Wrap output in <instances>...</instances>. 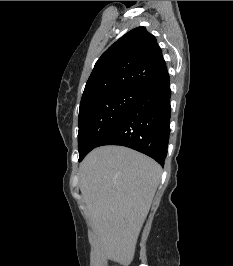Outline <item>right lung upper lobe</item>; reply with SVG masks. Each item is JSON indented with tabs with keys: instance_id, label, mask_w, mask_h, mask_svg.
Listing matches in <instances>:
<instances>
[{
	"instance_id": "cb5924a9",
	"label": "right lung upper lobe",
	"mask_w": 233,
	"mask_h": 266,
	"mask_svg": "<svg viewBox=\"0 0 233 266\" xmlns=\"http://www.w3.org/2000/svg\"><path fill=\"white\" fill-rule=\"evenodd\" d=\"M167 74L156 38L145 27H137L112 44L96 62L81 102L117 90L145 91Z\"/></svg>"
}]
</instances>
